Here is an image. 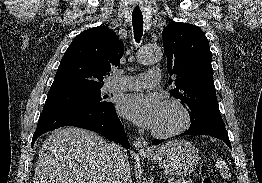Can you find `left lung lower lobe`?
Listing matches in <instances>:
<instances>
[{"label":"left lung lower lobe","mask_w":262,"mask_h":183,"mask_svg":"<svg viewBox=\"0 0 262 183\" xmlns=\"http://www.w3.org/2000/svg\"><path fill=\"white\" fill-rule=\"evenodd\" d=\"M182 135H209L215 138L223 140L229 148H231V143L229 141L228 133L224 126L223 122H212V123H205L197 127L189 128L187 131L182 133ZM164 140H153V144H160ZM232 149V148H231Z\"/></svg>","instance_id":"obj_1"}]
</instances>
